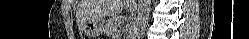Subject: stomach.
<instances>
[{"label":"stomach","mask_w":249,"mask_h":39,"mask_svg":"<svg viewBox=\"0 0 249 39\" xmlns=\"http://www.w3.org/2000/svg\"><path fill=\"white\" fill-rule=\"evenodd\" d=\"M103 26L104 21L102 18H89L84 24L85 33L90 37L99 36L102 33Z\"/></svg>","instance_id":"1"}]
</instances>
